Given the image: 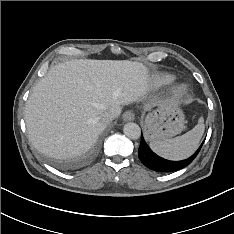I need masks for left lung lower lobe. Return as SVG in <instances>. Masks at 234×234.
<instances>
[{
  "label": "left lung lower lobe",
  "instance_id": "1",
  "mask_svg": "<svg viewBox=\"0 0 234 234\" xmlns=\"http://www.w3.org/2000/svg\"><path fill=\"white\" fill-rule=\"evenodd\" d=\"M205 141V140H204ZM203 141V143H204ZM203 143L199 147V149L188 159L182 161H169L163 159L156 155L146 144L145 140L141 136V143L138 149V156L141 162L151 170L157 172H172L182 169L189 165L195 157L198 155Z\"/></svg>",
  "mask_w": 234,
  "mask_h": 234
}]
</instances>
